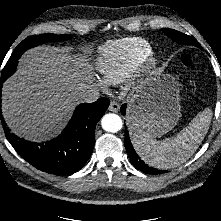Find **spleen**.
I'll list each match as a JSON object with an SVG mask.
<instances>
[{
    "instance_id": "1",
    "label": "spleen",
    "mask_w": 221,
    "mask_h": 221,
    "mask_svg": "<svg viewBox=\"0 0 221 221\" xmlns=\"http://www.w3.org/2000/svg\"><path fill=\"white\" fill-rule=\"evenodd\" d=\"M212 118L207 108L177 135L163 141L134 137L133 144L139 157L157 169H170L189 159L202 143Z\"/></svg>"
}]
</instances>
